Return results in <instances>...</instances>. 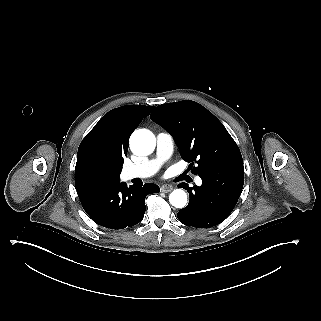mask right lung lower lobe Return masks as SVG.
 <instances>
[{
    "label": "right lung lower lobe",
    "mask_w": 321,
    "mask_h": 321,
    "mask_svg": "<svg viewBox=\"0 0 321 321\" xmlns=\"http://www.w3.org/2000/svg\"><path fill=\"white\" fill-rule=\"evenodd\" d=\"M86 213L97 224L123 229L139 223L145 213V197L160 191L156 184L143 187L120 183H94L76 189Z\"/></svg>",
    "instance_id": "1"
}]
</instances>
